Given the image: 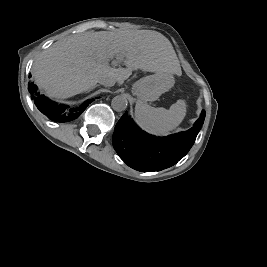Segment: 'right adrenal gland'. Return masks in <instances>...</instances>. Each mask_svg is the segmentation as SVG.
I'll return each instance as SVG.
<instances>
[{
  "label": "right adrenal gland",
  "instance_id": "1",
  "mask_svg": "<svg viewBox=\"0 0 267 267\" xmlns=\"http://www.w3.org/2000/svg\"><path fill=\"white\" fill-rule=\"evenodd\" d=\"M97 86H98V85H95L93 88H91V89L87 90V92H90V91H92V90H93V89H95Z\"/></svg>",
  "mask_w": 267,
  "mask_h": 267
}]
</instances>
